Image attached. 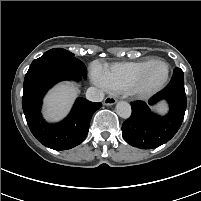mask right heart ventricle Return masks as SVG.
I'll return each mask as SVG.
<instances>
[{
    "mask_svg": "<svg viewBox=\"0 0 201 201\" xmlns=\"http://www.w3.org/2000/svg\"><path fill=\"white\" fill-rule=\"evenodd\" d=\"M154 59L114 63L102 69L108 88L114 92L126 91L136 76Z\"/></svg>",
    "mask_w": 201,
    "mask_h": 201,
    "instance_id": "1",
    "label": "right heart ventricle"
}]
</instances>
